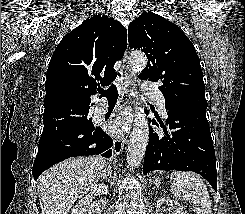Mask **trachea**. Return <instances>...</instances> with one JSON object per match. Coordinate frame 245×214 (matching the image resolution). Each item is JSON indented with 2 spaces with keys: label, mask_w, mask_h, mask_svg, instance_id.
I'll list each match as a JSON object with an SVG mask.
<instances>
[{
  "label": "trachea",
  "mask_w": 245,
  "mask_h": 214,
  "mask_svg": "<svg viewBox=\"0 0 245 214\" xmlns=\"http://www.w3.org/2000/svg\"><path fill=\"white\" fill-rule=\"evenodd\" d=\"M100 97H106L109 103H114L118 99V91L115 84H112L107 90L98 89Z\"/></svg>",
  "instance_id": "trachea-1"
}]
</instances>
